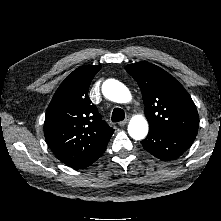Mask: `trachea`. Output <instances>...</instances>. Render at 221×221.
Masks as SVG:
<instances>
[{"instance_id":"trachea-1","label":"trachea","mask_w":221,"mask_h":221,"mask_svg":"<svg viewBox=\"0 0 221 221\" xmlns=\"http://www.w3.org/2000/svg\"><path fill=\"white\" fill-rule=\"evenodd\" d=\"M125 113L121 108H115L112 112L111 120L112 122H119L124 120Z\"/></svg>"}]
</instances>
